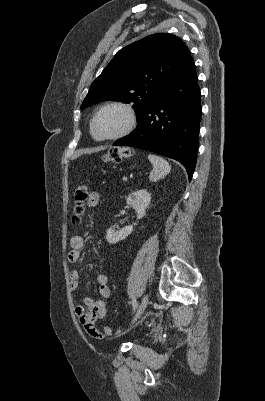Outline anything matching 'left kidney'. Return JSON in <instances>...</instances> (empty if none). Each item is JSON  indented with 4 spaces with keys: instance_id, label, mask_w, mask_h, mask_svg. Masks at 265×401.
Returning a JSON list of instances; mask_svg holds the SVG:
<instances>
[{
    "instance_id": "left-kidney-1",
    "label": "left kidney",
    "mask_w": 265,
    "mask_h": 401,
    "mask_svg": "<svg viewBox=\"0 0 265 401\" xmlns=\"http://www.w3.org/2000/svg\"><path fill=\"white\" fill-rule=\"evenodd\" d=\"M151 201V196L149 192H147L146 188H141V190H135V192H131L129 196L126 198L127 205L133 207L137 213L138 219H142L146 213V209H148ZM136 225V223H133ZM133 225H129V227H124V229H120V231H114L112 227L108 229L106 233V239L110 245H114V243H118V241H123L126 239L128 235H131L133 231Z\"/></svg>"
}]
</instances>
